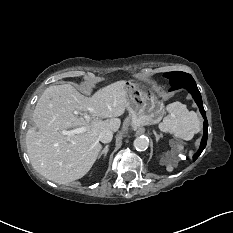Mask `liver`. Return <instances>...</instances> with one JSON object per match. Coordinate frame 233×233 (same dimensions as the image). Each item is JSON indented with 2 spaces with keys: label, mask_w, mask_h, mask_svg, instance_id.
Segmentation results:
<instances>
[{
  "label": "liver",
  "mask_w": 233,
  "mask_h": 233,
  "mask_svg": "<svg viewBox=\"0 0 233 233\" xmlns=\"http://www.w3.org/2000/svg\"><path fill=\"white\" fill-rule=\"evenodd\" d=\"M125 81H117L85 97L72 85L49 86L38 99L26 134L27 153L33 168L46 179L69 184L82 178L95 163L102 148L99 134L116 132L117 117L127 109ZM89 117V120L85 118ZM85 128L71 136L66 129Z\"/></svg>",
  "instance_id": "liver-1"
}]
</instances>
